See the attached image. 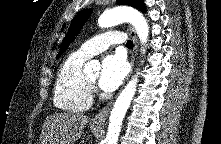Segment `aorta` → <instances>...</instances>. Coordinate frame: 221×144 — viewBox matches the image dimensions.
<instances>
[{
  "mask_svg": "<svg viewBox=\"0 0 221 144\" xmlns=\"http://www.w3.org/2000/svg\"><path fill=\"white\" fill-rule=\"evenodd\" d=\"M123 22H129L133 25L142 45L147 42L149 35L147 21L139 11L133 8L116 7L105 11L98 19V25L101 28L112 27ZM144 51L143 49V52ZM99 69L100 64L95 60L87 62L84 66L85 73L99 71ZM137 77L138 74L128 82L114 103L109 117L108 130L105 138L106 144H117L124 116L136 91Z\"/></svg>",
  "mask_w": 221,
  "mask_h": 144,
  "instance_id": "1",
  "label": "aorta"
}]
</instances>
